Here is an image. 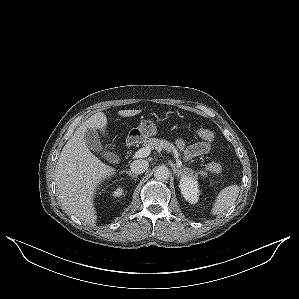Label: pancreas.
Here are the masks:
<instances>
[{"instance_id": "cf45deb5", "label": "pancreas", "mask_w": 299, "mask_h": 299, "mask_svg": "<svg viewBox=\"0 0 299 299\" xmlns=\"http://www.w3.org/2000/svg\"><path fill=\"white\" fill-rule=\"evenodd\" d=\"M143 146L148 147L150 149L161 148L163 150H166L168 153L169 152L173 153L176 157L180 156L179 152L177 151V148L172 143H170L166 140H160L157 138H148V139L144 140ZM180 170L183 175H187V176L194 177V178H198V175H200L201 177L207 176V173L204 171L193 172L192 169L187 168V167H182V168H180Z\"/></svg>"}]
</instances>
